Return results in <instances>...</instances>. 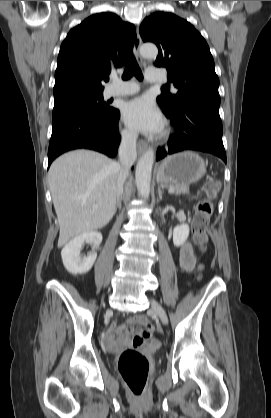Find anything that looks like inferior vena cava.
Returning <instances> with one entry per match:
<instances>
[{
	"label": "inferior vena cava",
	"mask_w": 271,
	"mask_h": 418,
	"mask_svg": "<svg viewBox=\"0 0 271 418\" xmlns=\"http://www.w3.org/2000/svg\"><path fill=\"white\" fill-rule=\"evenodd\" d=\"M137 133H130L125 135L120 143L119 154V172L117 178V195L120 196L123 192V184L129 175L131 166L134 164L136 153ZM117 196V197H118Z\"/></svg>",
	"instance_id": "obj_1"
}]
</instances>
